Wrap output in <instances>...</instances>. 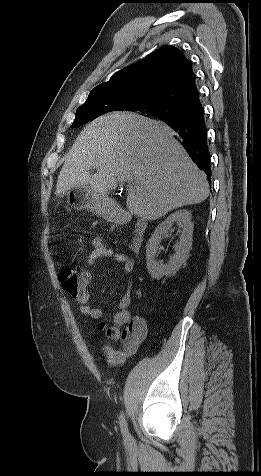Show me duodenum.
Wrapping results in <instances>:
<instances>
[{"label":"duodenum","instance_id":"duodenum-1","mask_svg":"<svg viewBox=\"0 0 261 476\" xmlns=\"http://www.w3.org/2000/svg\"><path fill=\"white\" fill-rule=\"evenodd\" d=\"M112 218L116 223H119V224H123L128 221L127 215L120 211L114 213ZM146 229H147V223L145 221L139 220L136 223L135 229L133 232L132 241H131V249L134 253H138L139 250L141 249L144 242Z\"/></svg>","mask_w":261,"mask_h":476}]
</instances>
